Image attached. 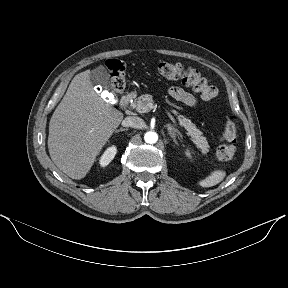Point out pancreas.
I'll return each instance as SVG.
<instances>
[{
	"instance_id": "cf45deb5",
	"label": "pancreas",
	"mask_w": 288,
	"mask_h": 288,
	"mask_svg": "<svg viewBox=\"0 0 288 288\" xmlns=\"http://www.w3.org/2000/svg\"><path fill=\"white\" fill-rule=\"evenodd\" d=\"M153 102V97L150 94L141 95L138 98L134 99L131 103L132 108L140 112V108ZM172 112L177 116V119L181 126L187 130V134L191 136L192 141L195 143L196 147L200 149L203 154H207L209 151V144L206 138L203 136L202 132L196 127L195 124L191 122L190 119L186 118L183 115H180L176 110Z\"/></svg>"
}]
</instances>
